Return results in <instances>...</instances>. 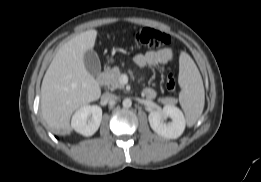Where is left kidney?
I'll use <instances>...</instances> for the list:
<instances>
[{
    "instance_id": "obj_1",
    "label": "left kidney",
    "mask_w": 261,
    "mask_h": 182,
    "mask_svg": "<svg viewBox=\"0 0 261 182\" xmlns=\"http://www.w3.org/2000/svg\"><path fill=\"white\" fill-rule=\"evenodd\" d=\"M171 122L166 123L167 118ZM148 120L154 132L158 135L176 139L182 135L186 126V120L182 111L174 105H165L160 111H153L149 114Z\"/></svg>"
}]
</instances>
